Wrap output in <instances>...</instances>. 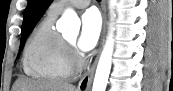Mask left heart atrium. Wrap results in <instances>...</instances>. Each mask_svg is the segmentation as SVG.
Returning <instances> with one entry per match:
<instances>
[{
  "label": "left heart atrium",
  "mask_w": 173,
  "mask_h": 91,
  "mask_svg": "<svg viewBox=\"0 0 173 91\" xmlns=\"http://www.w3.org/2000/svg\"><path fill=\"white\" fill-rule=\"evenodd\" d=\"M101 31V19L95 9H88L81 18V33L78 48L81 52L91 51L97 44Z\"/></svg>",
  "instance_id": "left-heart-atrium-1"
}]
</instances>
